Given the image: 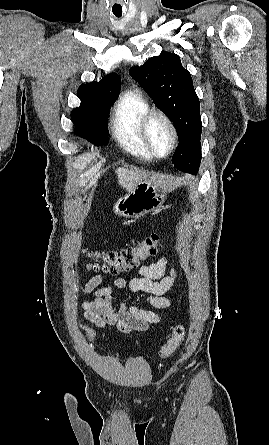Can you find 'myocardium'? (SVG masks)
Listing matches in <instances>:
<instances>
[{"instance_id":"1","label":"myocardium","mask_w":269,"mask_h":445,"mask_svg":"<svg viewBox=\"0 0 269 445\" xmlns=\"http://www.w3.org/2000/svg\"><path fill=\"white\" fill-rule=\"evenodd\" d=\"M157 117L161 118L168 125V127L171 131V135H172V143H171L170 149L165 154H159L155 150V148L153 147V145L149 139L150 123L154 118H157ZM140 134H141L142 140H143L146 148L157 159H164V158H167L168 156H170L174 152V150L176 149L177 144H178L179 136H178L177 127H176L174 121L172 120V118L167 113H165L164 111H161V110H150L148 113L145 114V116L143 117V119L141 121Z\"/></svg>"}]
</instances>
